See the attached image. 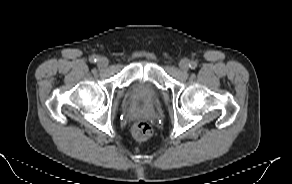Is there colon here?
I'll list each match as a JSON object with an SVG mask.
<instances>
[{"mask_svg": "<svg viewBox=\"0 0 292 184\" xmlns=\"http://www.w3.org/2000/svg\"><path fill=\"white\" fill-rule=\"evenodd\" d=\"M133 137L140 142L147 141L153 134V128L145 121L136 122L131 129Z\"/></svg>", "mask_w": 292, "mask_h": 184, "instance_id": "5ec220e1", "label": "colon"}]
</instances>
